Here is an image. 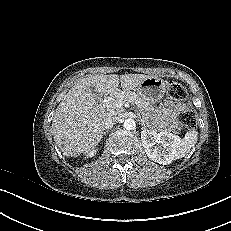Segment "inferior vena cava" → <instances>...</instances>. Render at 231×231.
Masks as SVG:
<instances>
[{
	"label": "inferior vena cava",
	"instance_id": "602c4592",
	"mask_svg": "<svg viewBox=\"0 0 231 231\" xmlns=\"http://www.w3.org/2000/svg\"><path fill=\"white\" fill-rule=\"evenodd\" d=\"M118 121V117L114 115H108L104 118V128L105 129H110L112 128Z\"/></svg>",
	"mask_w": 231,
	"mask_h": 231
}]
</instances>
